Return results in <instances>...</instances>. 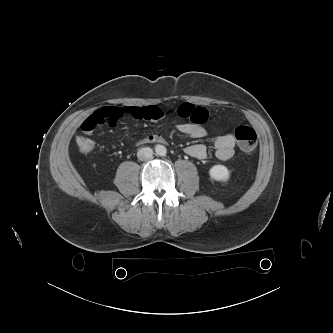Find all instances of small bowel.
<instances>
[{
    "mask_svg": "<svg viewBox=\"0 0 333 333\" xmlns=\"http://www.w3.org/2000/svg\"><path fill=\"white\" fill-rule=\"evenodd\" d=\"M178 115L184 120L177 125V129L191 138L201 139L207 135L204 123L208 118V111L204 107L196 106L192 103H182L178 108ZM131 116L136 119H146L160 121L164 117V112L156 106L148 107H103L94 111L81 124V130L86 134H91L103 124L115 125L123 116ZM140 143H165L163 135L155 132L145 136ZM215 155L219 160H229L235 152L236 138L232 133L219 135L212 140ZM185 153L196 159H204L207 156V147L202 143H195L185 148Z\"/></svg>",
    "mask_w": 333,
    "mask_h": 333,
    "instance_id": "c3829d8e",
    "label": "small bowel"
}]
</instances>
